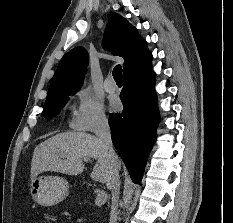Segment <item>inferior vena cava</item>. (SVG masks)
I'll use <instances>...</instances> for the list:
<instances>
[{"mask_svg":"<svg viewBox=\"0 0 233 223\" xmlns=\"http://www.w3.org/2000/svg\"><path fill=\"white\" fill-rule=\"evenodd\" d=\"M96 135L101 143L102 149L106 151L109 157V165L112 167L113 181L108 183V189L111 191V213L109 223H117L118 199L120 193V179L118 171V155L115 153L112 145L111 131L107 117H101L98 121Z\"/></svg>","mask_w":233,"mask_h":223,"instance_id":"1","label":"inferior vena cava"}]
</instances>
